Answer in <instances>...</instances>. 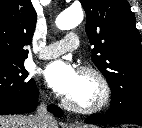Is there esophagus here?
<instances>
[{"label":"esophagus","mask_w":142,"mask_h":128,"mask_svg":"<svg viewBox=\"0 0 142 128\" xmlns=\"http://www.w3.org/2000/svg\"><path fill=\"white\" fill-rule=\"evenodd\" d=\"M70 127H71V128H77L74 123H70Z\"/></svg>","instance_id":"obj_1"}]
</instances>
